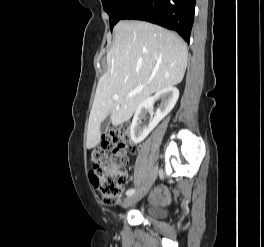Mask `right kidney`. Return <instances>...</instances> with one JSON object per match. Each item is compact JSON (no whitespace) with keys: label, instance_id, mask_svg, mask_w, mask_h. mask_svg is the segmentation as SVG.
Segmentation results:
<instances>
[{"label":"right kidney","instance_id":"right-kidney-1","mask_svg":"<svg viewBox=\"0 0 264 247\" xmlns=\"http://www.w3.org/2000/svg\"><path fill=\"white\" fill-rule=\"evenodd\" d=\"M179 98V90L176 87H166L158 91L153 97L144 100L136 109L130 127V136L134 143L142 142L158 123L173 109ZM155 100H161L156 115L147 126L141 125V120L149 111Z\"/></svg>","mask_w":264,"mask_h":247}]
</instances>
